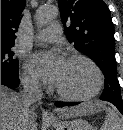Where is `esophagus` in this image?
Masks as SVG:
<instances>
[{
    "instance_id": "obj_1",
    "label": "esophagus",
    "mask_w": 123,
    "mask_h": 130,
    "mask_svg": "<svg viewBox=\"0 0 123 130\" xmlns=\"http://www.w3.org/2000/svg\"><path fill=\"white\" fill-rule=\"evenodd\" d=\"M45 116H46L47 118H52V117H53V114H52L50 111H46V112H45Z\"/></svg>"
}]
</instances>
